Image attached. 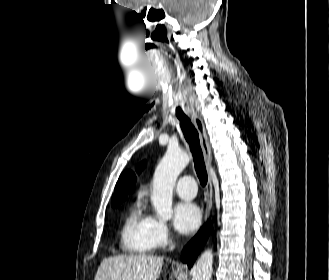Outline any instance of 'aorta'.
<instances>
[{
    "instance_id": "obj_1",
    "label": "aorta",
    "mask_w": 329,
    "mask_h": 280,
    "mask_svg": "<svg viewBox=\"0 0 329 280\" xmlns=\"http://www.w3.org/2000/svg\"><path fill=\"white\" fill-rule=\"evenodd\" d=\"M190 161L189 155L179 148H168L158 164L152 182L151 201L157 214L170 219L173 214L172 197L177 177ZM213 253L204 251L191 269L192 280H210Z\"/></svg>"
}]
</instances>
